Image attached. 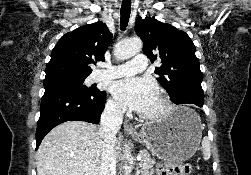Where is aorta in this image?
<instances>
[{
  "label": "aorta",
  "instance_id": "762f6f07",
  "mask_svg": "<svg viewBox=\"0 0 251 175\" xmlns=\"http://www.w3.org/2000/svg\"><path fill=\"white\" fill-rule=\"evenodd\" d=\"M142 42L140 38H131V40H125V42H119V44H116L114 48V56L116 60H127V58H132V56H135V54H138V52H141L142 50ZM130 147H128V143L125 145V153L126 157H129V151ZM130 165H124V175H128Z\"/></svg>",
  "mask_w": 251,
  "mask_h": 175
}]
</instances>
